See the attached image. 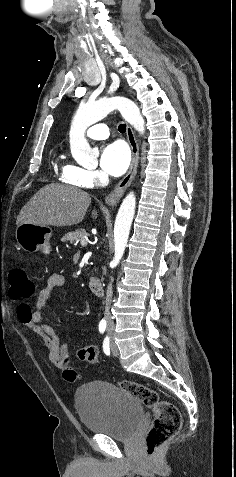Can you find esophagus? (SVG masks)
Listing matches in <instances>:
<instances>
[{"mask_svg":"<svg viewBox=\"0 0 236 477\" xmlns=\"http://www.w3.org/2000/svg\"><path fill=\"white\" fill-rule=\"evenodd\" d=\"M126 135L132 152V161L128 173L121 181H119L113 192L105 198L106 203L111 206L115 205L120 200L126 189L131 184L137 172L139 161V147L133 129L129 125H127L126 128Z\"/></svg>","mask_w":236,"mask_h":477,"instance_id":"obj_1","label":"esophagus"}]
</instances>
